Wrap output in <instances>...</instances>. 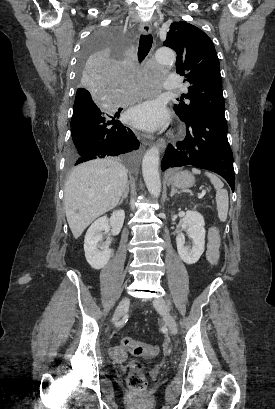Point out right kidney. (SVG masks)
Masks as SVG:
<instances>
[{"label": "right kidney", "instance_id": "right-kidney-1", "mask_svg": "<svg viewBox=\"0 0 275 409\" xmlns=\"http://www.w3.org/2000/svg\"><path fill=\"white\" fill-rule=\"evenodd\" d=\"M125 219L124 211H114L110 219L108 217H100L91 227H89L84 239V251L87 263L92 269H103L107 265L110 257L114 255V251L109 249L111 241H107L101 247H98L103 235L101 231L108 229L111 225V235H119ZM101 249V251H100Z\"/></svg>", "mask_w": 275, "mask_h": 409}]
</instances>
